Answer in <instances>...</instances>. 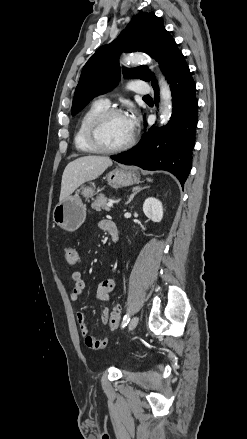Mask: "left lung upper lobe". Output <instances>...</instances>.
Segmentation results:
<instances>
[{"label":"left lung upper lobe","instance_id":"left-lung-upper-lobe-1","mask_svg":"<svg viewBox=\"0 0 247 439\" xmlns=\"http://www.w3.org/2000/svg\"><path fill=\"white\" fill-rule=\"evenodd\" d=\"M142 51L158 61L166 78L184 58L162 20L153 12L136 15L113 43L100 47L82 69L72 103V115L83 109L99 94L111 90L120 78L119 54ZM126 77L151 81L158 87L153 73L146 66L126 69Z\"/></svg>","mask_w":247,"mask_h":439}]
</instances>
